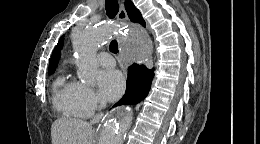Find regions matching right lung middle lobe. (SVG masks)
<instances>
[{
    "label": "right lung middle lobe",
    "instance_id": "1",
    "mask_svg": "<svg viewBox=\"0 0 260 144\" xmlns=\"http://www.w3.org/2000/svg\"><path fill=\"white\" fill-rule=\"evenodd\" d=\"M48 73H49V74H52V73H54V71H48Z\"/></svg>",
    "mask_w": 260,
    "mask_h": 144
}]
</instances>
